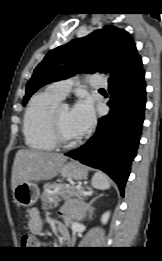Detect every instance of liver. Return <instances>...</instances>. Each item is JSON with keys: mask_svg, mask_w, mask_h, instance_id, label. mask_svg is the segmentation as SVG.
Here are the masks:
<instances>
[{"mask_svg": "<svg viewBox=\"0 0 162 261\" xmlns=\"http://www.w3.org/2000/svg\"><path fill=\"white\" fill-rule=\"evenodd\" d=\"M67 157L63 154L19 150L12 168L11 188L24 182L50 180L57 176Z\"/></svg>", "mask_w": 162, "mask_h": 261, "instance_id": "obj_1", "label": "liver"}]
</instances>
